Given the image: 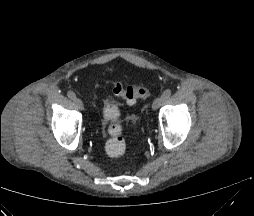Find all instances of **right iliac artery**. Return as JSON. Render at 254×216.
I'll return each instance as SVG.
<instances>
[{
    "instance_id": "obj_1",
    "label": "right iliac artery",
    "mask_w": 254,
    "mask_h": 216,
    "mask_svg": "<svg viewBox=\"0 0 254 216\" xmlns=\"http://www.w3.org/2000/svg\"><path fill=\"white\" fill-rule=\"evenodd\" d=\"M67 95L70 99H75L76 98V95L73 91H68Z\"/></svg>"
}]
</instances>
